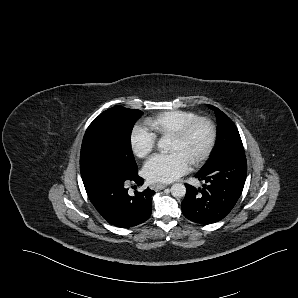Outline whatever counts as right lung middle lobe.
Returning a JSON list of instances; mask_svg holds the SVG:
<instances>
[{
	"label": "right lung middle lobe",
	"instance_id": "right-lung-middle-lobe-1",
	"mask_svg": "<svg viewBox=\"0 0 298 298\" xmlns=\"http://www.w3.org/2000/svg\"><path fill=\"white\" fill-rule=\"evenodd\" d=\"M141 115L140 110L115 106L102 112L89 125L80 153L84 184L129 179L137 171L130 137Z\"/></svg>",
	"mask_w": 298,
	"mask_h": 298
}]
</instances>
